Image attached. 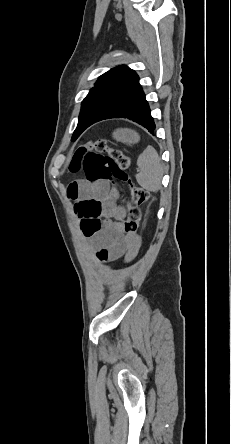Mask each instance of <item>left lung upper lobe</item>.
I'll return each instance as SVG.
<instances>
[{
	"label": "left lung upper lobe",
	"mask_w": 231,
	"mask_h": 444,
	"mask_svg": "<svg viewBox=\"0 0 231 444\" xmlns=\"http://www.w3.org/2000/svg\"><path fill=\"white\" fill-rule=\"evenodd\" d=\"M141 88L138 75L127 66H118L101 75L82 102L72 140L93 123L109 118Z\"/></svg>",
	"instance_id": "5c2ea615"
}]
</instances>
